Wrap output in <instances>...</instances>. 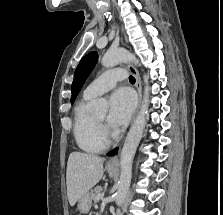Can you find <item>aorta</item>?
I'll use <instances>...</instances> for the list:
<instances>
[{"instance_id": "obj_1", "label": "aorta", "mask_w": 223, "mask_h": 215, "mask_svg": "<svg viewBox=\"0 0 223 215\" xmlns=\"http://www.w3.org/2000/svg\"><path fill=\"white\" fill-rule=\"evenodd\" d=\"M120 62H132V64H139L134 54H129L124 48H116V50H108L102 58V66L104 68H112L117 66ZM146 78V76H145ZM149 86L144 88V96L142 100V106L138 111L124 141V145L121 151L120 161V177L118 181V187L115 195V201L117 205H122L126 199L128 193L131 177H132V161L133 155L139 145V141L142 137L143 129L146 125V113L149 108ZM94 104L99 113H106L108 104L106 100H94Z\"/></svg>"}]
</instances>
